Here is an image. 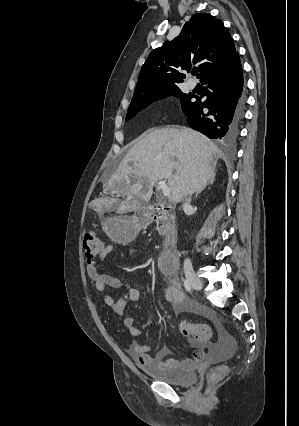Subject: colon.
I'll list each match as a JSON object with an SVG mask.
<instances>
[{
    "label": "colon",
    "mask_w": 299,
    "mask_h": 426,
    "mask_svg": "<svg viewBox=\"0 0 299 426\" xmlns=\"http://www.w3.org/2000/svg\"><path fill=\"white\" fill-rule=\"evenodd\" d=\"M103 241L94 232L88 231L83 238V253L87 264L95 263L103 248ZM180 332L186 337H190L198 342H207L210 340L212 331L206 324H194L188 321H182L179 326ZM227 374V367L220 365L214 367L207 376L209 386H213L221 381Z\"/></svg>",
    "instance_id": "colon-1"
}]
</instances>
